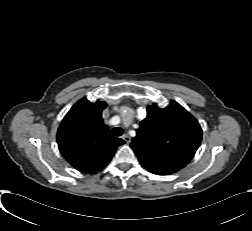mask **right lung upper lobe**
Wrapping results in <instances>:
<instances>
[{
  "label": "right lung upper lobe",
  "mask_w": 252,
  "mask_h": 231,
  "mask_svg": "<svg viewBox=\"0 0 252 231\" xmlns=\"http://www.w3.org/2000/svg\"><path fill=\"white\" fill-rule=\"evenodd\" d=\"M105 102L78 101L62 120L57 143L62 156L77 170L94 173L105 167L124 140L112 137L103 123Z\"/></svg>",
  "instance_id": "1"
}]
</instances>
